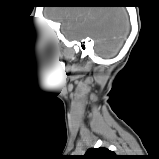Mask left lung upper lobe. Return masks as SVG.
<instances>
[{"mask_svg":"<svg viewBox=\"0 0 159 159\" xmlns=\"http://www.w3.org/2000/svg\"><path fill=\"white\" fill-rule=\"evenodd\" d=\"M80 159H120V157L107 148H92L87 150Z\"/></svg>","mask_w":159,"mask_h":159,"instance_id":"5c2ea615","label":"left lung upper lobe"}]
</instances>
